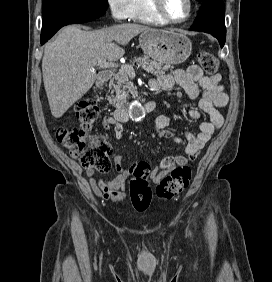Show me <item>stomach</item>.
Instances as JSON below:
<instances>
[{
    "label": "stomach",
    "instance_id": "stomach-1",
    "mask_svg": "<svg viewBox=\"0 0 272 282\" xmlns=\"http://www.w3.org/2000/svg\"><path fill=\"white\" fill-rule=\"evenodd\" d=\"M146 55L161 64H180L191 55L192 43L183 33L175 30L149 29L139 36Z\"/></svg>",
    "mask_w": 272,
    "mask_h": 282
}]
</instances>
